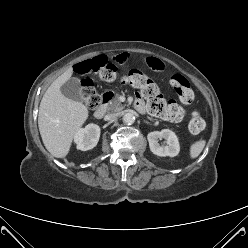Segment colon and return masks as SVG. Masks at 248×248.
<instances>
[{"label":"colon","mask_w":248,"mask_h":248,"mask_svg":"<svg viewBox=\"0 0 248 248\" xmlns=\"http://www.w3.org/2000/svg\"><path fill=\"white\" fill-rule=\"evenodd\" d=\"M77 70L81 74H87L90 70H98L99 77L104 82L111 83L119 79L125 85L139 88L147 99L149 112L155 116L174 120L182 115L181 107L177 103H168L160 94L157 84L138 70H131L119 77L117 70L111 65H106L105 59L102 57L82 62L77 66ZM170 85L182 104L190 105L193 103L194 92L184 76L174 74L170 79ZM80 93L90 109H97L101 104V98L95 91L90 78H83ZM188 127L193 134H198L204 130L205 122L198 109L193 110Z\"/></svg>","instance_id":"colon-1"}]
</instances>
